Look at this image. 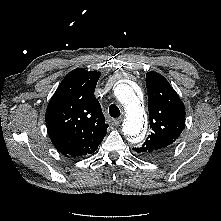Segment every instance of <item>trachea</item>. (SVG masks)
Instances as JSON below:
<instances>
[{"instance_id": "obj_1", "label": "trachea", "mask_w": 221, "mask_h": 221, "mask_svg": "<svg viewBox=\"0 0 221 221\" xmlns=\"http://www.w3.org/2000/svg\"><path fill=\"white\" fill-rule=\"evenodd\" d=\"M109 114L113 118H117L120 116V110L115 104H111L109 107Z\"/></svg>"}]
</instances>
